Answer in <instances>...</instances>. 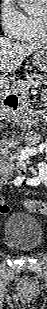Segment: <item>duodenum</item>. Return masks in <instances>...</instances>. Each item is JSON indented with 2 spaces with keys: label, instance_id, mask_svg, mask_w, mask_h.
I'll use <instances>...</instances> for the list:
<instances>
[{
  "label": "duodenum",
  "instance_id": "410a0bca",
  "mask_svg": "<svg viewBox=\"0 0 47 309\" xmlns=\"http://www.w3.org/2000/svg\"><path fill=\"white\" fill-rule=\"evenodd\" d=\"M17 103L12 101H5L1 110L2 119L11 127H15L13 121V114L17 109ZM22 138L28 144H34L39 139V135L35 131H23Z\"/></svg>",
  "mask_w": 47,
  "mask_h": 309
}]
</instances>
